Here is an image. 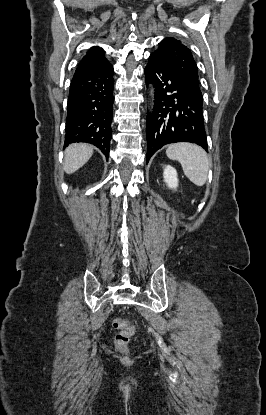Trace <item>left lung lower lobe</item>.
Here are the masks:
<instances>
[{"label":"left lung lower lobe","mask_w":266,"mask_h":415,"mask_svg":"<svg viewBox=\"0 0 266 415\" xmlns=\"http://www.w3.org/2000/svg\"><path fill=\"white\" fill-rule=\"evenodd\" d=\"M146 83L154 84L155 104L147 116V163L162 146L192 142L208 150L203 101L154 53L145 67Z\"/></svg>","instance_id":"left-lung-lower-lobe-1"}]
</instances>
